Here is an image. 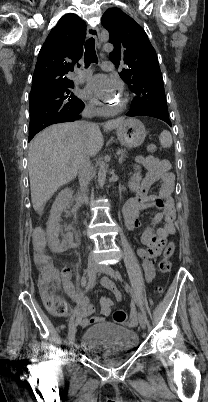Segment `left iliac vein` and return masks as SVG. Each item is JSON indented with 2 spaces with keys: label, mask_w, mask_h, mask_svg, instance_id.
Listing matches in <instances>:
<instances>
[{
  "label": "left iliac vein",
  "mask_w": 208,
  "mask_h": 402,
  "mask_svg": "<svg viewBox=\"0 0 208 402\" xmlns=\"http://www.w3.org/2000/svg\"><path fill=\"white\" fill-rule=\"evenodd\" d=\"M96 269L99 272L104 273V274H106V275H108V276H110V277H112L114 279L118 278L117 273L113 270L112 267H110L107 264H99L96 267ZM138 320H139L141 328L145 329L146 328V319H145V316H144L143 313H141V312L138 313Z\"/></svg>",
  "instance_id": "obj_1"
}]
</instances>
